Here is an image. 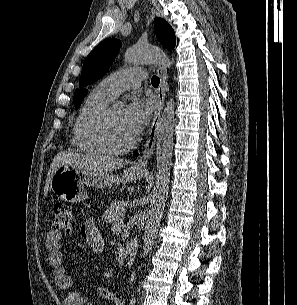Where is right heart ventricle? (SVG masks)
<instances>
[{"instance_id":"right-heart-ventricle-1","label":"right heart ventricle","mask_w":297,"mask_h":305,"mask_svg":"<svg viewBox=\"0 0 297 305\" xmlns=\"http://www.w3.org/2000/svg\"><path fill=\"white\" fill-rule=\"evenodd\" d=\"M111 100L98 86L85 98L77 111L72 126L71 142L76 150L91 154H101L104 152L90 135L89 125L92 119L106 108Z\"/></svg>"}]
</instances>
